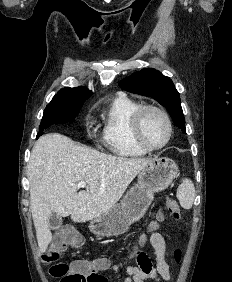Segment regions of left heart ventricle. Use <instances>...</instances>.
I'll list each match as a JSON object with an SVG mask.
<instances>
[{"label":"left heart ventricle","instance_id":"left-heart-ventricle-1","mask_svg":"<svg viewBox=\"0 0 232 282\" xmlns=\"http://www.w3.org/2000/svg\"><path fill=\"white\" fill-rule=\"evenodd\" d=\"M141 130L146 142L153 146L162 144L168 135V128L164 118L153 111L145 113Z\"/></svg>","mask_w":232,"mask_h":282}]
</instances>
